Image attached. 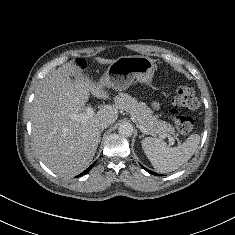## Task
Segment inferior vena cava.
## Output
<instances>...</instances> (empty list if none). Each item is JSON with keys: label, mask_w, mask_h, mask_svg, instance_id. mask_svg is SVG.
Listing matches in <instances>:
<instances>
[{"label": "inferior vena cava", "mask_w": 235, "mask_h": 235, "mask_svg": "<svg viewBox=\"0 0 235 235\" xmlns=\"http://www.w3.org/2000/svg\"><path fill=\"white\" fill-rule=\"evenodd\" d=\"M111 122L109 120H103L98 124L99 129L107 128Z\"/></svg>", "instance_id": "inferior-vena-cava-1"}]
</instances>
